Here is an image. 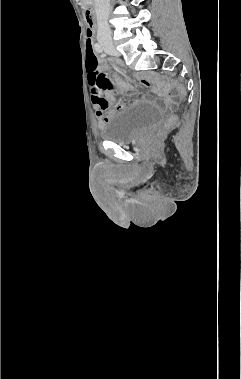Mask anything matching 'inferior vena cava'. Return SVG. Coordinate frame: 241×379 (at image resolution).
Masks as SVG:
<instances>
[{"mask_svg":"<svg viewBox=\"0 0 241 379\" xmlns=\"http://www.w3.org/2000/svg\"><path fill=\"white\" fill-rule=\"evenodd\" d=\"M110 0H95V11L97 17V36L111 40V31L108 25Z\"/></svg>","mask_w":241,"mask_h":379,"instance_id":"1","label":"inferior vena cava"}]
</instances>
